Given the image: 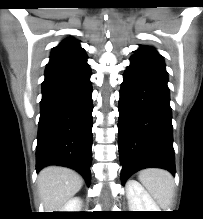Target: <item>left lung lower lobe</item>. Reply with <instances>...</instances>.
<instances>
[{
	"mask_svg": "<svg viewBox=\"0 0 203 219\" xmlns=\"http://www.w3.org/2000/svg\"><path fill=\"white\" fill-rule=\"evenodd\" d=\"M120 89L118 146L121 182L136 171L163 168L175 175L172 112L165 65L132 56Z\"/></svg>",
	"mask_w": 203,
	"mask_h": 219,
	"instance_id": "0a47b994",
	"label": "left lung lower lobe"
}]
</instances>
